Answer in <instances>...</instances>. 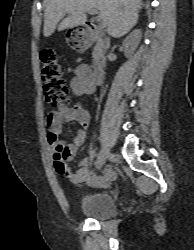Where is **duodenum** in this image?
<instances>
[{
	"label": "duodenum",
	"mask_w": 194,
	"mask_h": 250,
	"mask_svg": "<svg viewBox=\"0 0 194 250\" xmlns=\"http://www.w3.org/2000/svg\"><path fill=\"white\" fill-rule=\"evenodd\" d=\"M85 30L90 33V37L87 35L82 34L91 45L94 42V36H98L100 34V28L98 25L87 22L85 25ZM104 67L105 63L102 59L98 58L94 62V67L91 74V79L94 84H99L102 81L103 75H104Z\"/></svg>",
	"instance_id": "obj_1"
}]
</instances>
